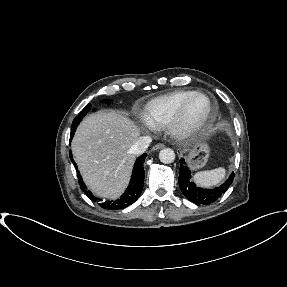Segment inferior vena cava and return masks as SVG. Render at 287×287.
<instances>
[{"instance_id": "inferior-vena-cava-1", "label": "inferior vena cava", "mask_w": 287, "mask_h": 287, "mask_svg": "<svg viewBox=\"0 0 287 287\" xmlns=\"http://www.w3.org/2000/svg\"><path fill=\"white\" fill-rule=\"evenodd\" d=\"M152 139L150 136H141L130 148V152L134 155H140L146 151Z\"/></svg>"}]
</instances>
